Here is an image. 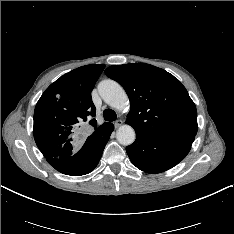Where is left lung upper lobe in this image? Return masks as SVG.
Instances as JSON below:
<instances>
[{
    "label": "left lung upper lobe",
    "instance_id": "obj_1",
    "mask_svg": "<svg viewBox=\"0 0 234 234\" xmlns=\"http://www.w3.org/2000/svg\"><path fill=\"white\" fill-rule=\"evenodd\" d=\"M130 98L126 123L136 133H197V110L185 87L173 75L145 63L113 65L105 70Z\"/></svg>",
    "mask_w": 234,
    "mask_h": 234
}]
</instances>
